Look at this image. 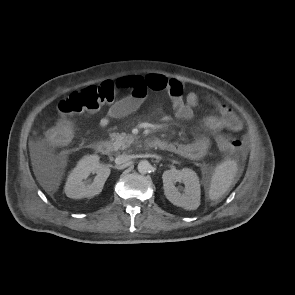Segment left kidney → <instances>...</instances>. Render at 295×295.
Returning <instances> with one entry per match:
<instances>
[{
    "mask_svg": "<svg viewBox=\"0 0 295 295\" xmlns=\"http://www.w3.org/2000/svg\"><path fill=\"white\" fill-rule=\"evenodd\" d=\"M164 194L174 205L186 210H195L200 205V183L197 174L188 168L182 170L170 169L162 175ZM183 182L184 193L181 194L175 187V182Z\"/></svg>",
    "mask_w": 295,
    "mask_h": 295,
    "instance_id": "obj_1",
    "label": "left kidney"
}]
</instances>
